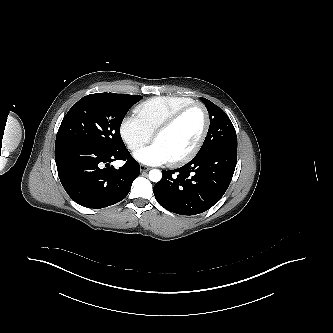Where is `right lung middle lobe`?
I'll use <instances>...</instances> for the list:
<instances>
[{"mask_svg": "<svg viewBox=\"0 0 333 333\" xmlns=\"http://www.w3.org/2000/svg\"><path fill=\"white\" fill-rule=\"evenodd\" d=\"M142 96L96 93L81 98L68 111L59 127L56 142H72L113 152L125 147L120 126L128 110Z\"/></svg>", "mask_w": 333, "mask_h": 333, "instance_id": "obj_1", "label": "right lung middle lobe"}]
</instances>
